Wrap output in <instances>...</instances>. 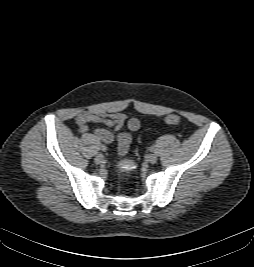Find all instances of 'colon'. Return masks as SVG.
<instances>
[{
    "instance_id": "5ec220e1",
    "label": "colon",
    "mask_w": 254,
    "mask_h": 267,
    "mask_svg": "<svg viewBox=\"0 0 254 267\" xmlns=\"http://www.w3.org/2000/svg\"><path fill=\"white\" fill-rule=\"evenodd\" d=\"M179 120H180L179 116L175 114H170L165 118V122L168 125H175L179 122Z\"/></svg>"
}]
</instances>
